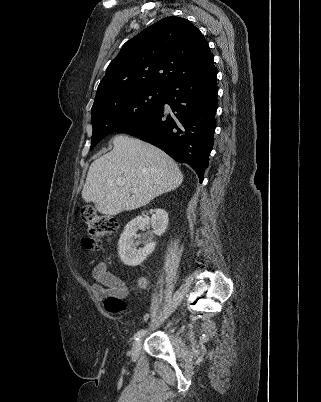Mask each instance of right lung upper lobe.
Here are the masks:
<instances>
[{
  "label": "right lung upper lobe",
  "instance_id": "1",
  "mask_svg": "<svg viewBox=\"0 0 321 402\" xmlns=\"http://www.w3.org/2000/svg\"><path fill=\"white\" fill-rule=\"evenodd\" d=\"M214 63L207 41L189 20L166 17L124 44L101 80L94 104L146 88H166Z\"/></svg>",
  "mask_w": 321,
  "mask_h": 402
}]
</instances>
